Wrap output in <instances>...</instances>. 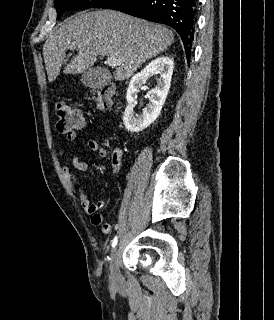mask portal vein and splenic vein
<instances>
[{
	"mask_svg": "<svg viewBox=\"0 0 274 320\" xmlns=\"http://www.w3.org/2000/svg\"><path fill=\"white\" fill-rule=\"evenodd\" d=\"M106 64H108V66H120V62L117 58H107Z\"/></svg>",
	"mask_w": 274,
	"mask_h": 320,
	"instance_id": "18ae733b",
	"label": "portal vein and splenic vein"
}]
</instances>
